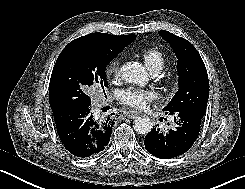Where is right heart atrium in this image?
I'll return each mask as SVG.
<instances>
[{"label":"right heart atrium","instance_id":"d8ad5b80","mask_svg":"<svg viewBox=\"0 0 245 189\" xmlns=\"http://www.w3.org/2000/svg\"><path fill=\"white\" fill-rule=\"evenodd\" d=\"M120 71H121L120 58L112 59L106 66L107 75L113 76L114 78H118L120 76Z\"/></svg>","mask_w":245,"mask_h":189}]
</instances>
